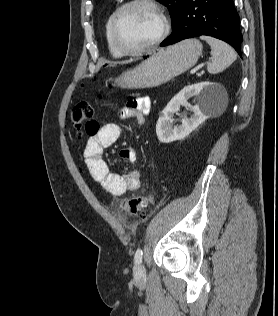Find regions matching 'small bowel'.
I'll use <instances>...</instances> for the list:
<instances>
[{"instance_id": "1", "label": "small bowel", "mask_w": 278, "mask_h": 316, "mask_svg": "<svg viewBox=\"0 0 278 316\" xmlns=\"http://www.w3.org/2000/svg\"><path fill=\"white\" fill-rule=\"evenodd\" d=\"M151 102L147 97H139L120 110L122 119L135 118L142 125L145 115L150 112ZM122 133L118 124L108 123L98 128V131L90 135L83 151L85 165L92 178L99 184L101 189L112 196H122L129 191H136L140 187L141 173L138 168H132L127 174L119 175L112 173L103 158L104 150L114 144ZM120 156L134 163L136 154L132 148H124ZM153 168V164H150Z\"/></svg>"}]
</instances>
